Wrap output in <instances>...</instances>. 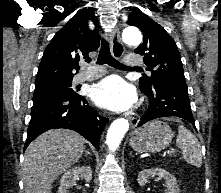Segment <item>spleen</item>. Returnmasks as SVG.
I'll return each instance as SVG.
<instances>
[{
  "label": "spleen",
  "mask_w": 221,
  "mask_h": 193,
  "mask_svg": "<svg viewBox=\"0 0 221 193\" xmlns=\"http://www.w3.org/2000/svg\"><path fill=\"white\" fill-rule=\"evenodd\" d=\"M176 145L182 150L183 158L193 166L202 164L201 146L196 136L184 126L178 127Z\"/></svg>",
  "instance_id": "1"
}]
</instances>
